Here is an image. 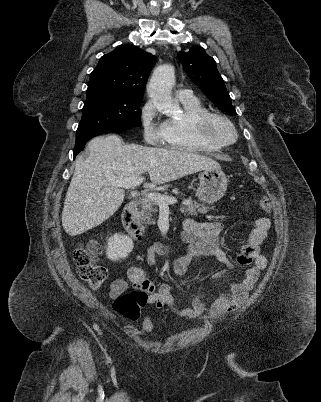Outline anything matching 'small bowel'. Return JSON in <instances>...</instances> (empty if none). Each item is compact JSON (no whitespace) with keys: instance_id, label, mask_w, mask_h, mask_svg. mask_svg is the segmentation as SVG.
<instances>
[{"instance_id":"obj_1","label":"small bowel","mask_w":321,"mask_h":402,"mask_svg":"<svg viewBox=\"0 0 321 402\" xmlns=\"http://www.w3.org/2000/svg\"><path fill=\"white\" fill-rule=\"evenodd\" d=\"M270 228L271 221L268 218L258 217L255 219L253 227L246 236L245 244L237 255V262L241 265H249V268L245 271L241 281L229 282L228 289L222 292L212 303L207 318L212 320L221 319L245 303L248 293L258 281L261 272L267 267V259L262 254V245ZM222 229L223 225L220 222L200 223L187 219L184 222L180 238L182 242L191 244V248L186 254L179 256L173 262L174 273L179 277L184 276L188 266L204 255L215 256L228 267H232V261L219 240ZM171 251L172 248L164 244L154 245L146 254L147 263L153 265L158 255H166ZM217 277L222 278L223 275H217ZM128 283L134 284L149 293L148 305H154L157 308L168 307L179 317L194 319L204 312L203 300L198 295L192 298L189 307L177 308L172 296L171 286L161 284L156 288L155 284L139 266L129 268L127 280L118 278L113 281L110 296L116 298L121 295L128 288ZM141 325L146 332L153 330V320L149 314L145 313L143 315Z\"/></svg>"}]
</instances>
